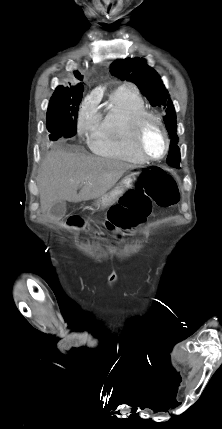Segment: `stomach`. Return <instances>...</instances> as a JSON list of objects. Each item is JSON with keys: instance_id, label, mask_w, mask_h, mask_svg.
Instances as JSON below:
<instances>
[{"instance_id": "obj_1", "label": "stomach", "mask_w": 222, "mask_h": 429, "mask_svg": "<svg viewBox=\"0 0 222 429\" xmlns=\"http://www.w3.org/2000/svg\"><path fill=\"white\" fill-rule=\"evenodd\" d=\"M141 175L142 172H131L126 175L114 189H112L108 193H105L104 195L100 196L95 200V202L93 203L95 208L97 210H103L117 202L123 196V190L128 189L130 185H135Z\"/></svg>"}]
</instances>
